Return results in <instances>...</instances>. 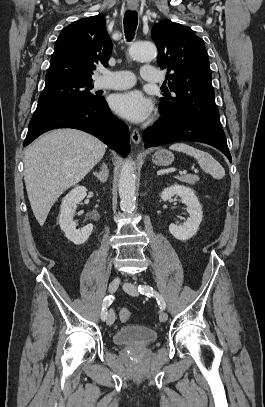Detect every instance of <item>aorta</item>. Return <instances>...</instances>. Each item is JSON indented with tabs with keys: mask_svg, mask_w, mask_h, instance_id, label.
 <instances>
[{
	"mask_svg": "<svg viewBox=\"0 0 265 407\" xmlns=\"http://www.w3.org/2000/svg\"><path fill=\"white\" fill-rule=\"evenodd\" d=\"M130 56L137 61H152L157 56V49L150 42H137L131 45L129 49ZM134 162L131 159L125 161L122 166L119 179L120 205L126 211H133L136 201V186Z\"/></svg>",
	"mask_w": 265,
	"mask_h": 407,
	"instance_id": "762f6f07",
	"label": "aorta"
}]
</instances>
